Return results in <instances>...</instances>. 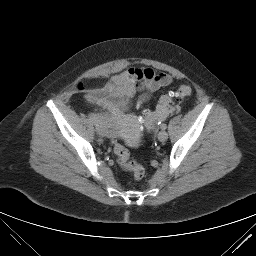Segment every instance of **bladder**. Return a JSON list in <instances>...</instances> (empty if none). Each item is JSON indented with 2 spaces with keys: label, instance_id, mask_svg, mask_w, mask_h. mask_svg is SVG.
<instances>
[{
  "label": "bladder",
  "instance_id": "obj_1",
  "mask_svg": "<svg viewBox=\"0 0 256 256\" xmlns=\"http://www.w3.org/2000/svg\"><path fill=\"white\" fill-rule=\"evenodd\" d=\"M100 120H101V122H103L107 125L108 134L110 136L117 135V129L113 125H111L109 122H107L105 117H100Z\"/></svg>",
  "mask_w": 256,
  "mask_h": 256
}]
</instances>
